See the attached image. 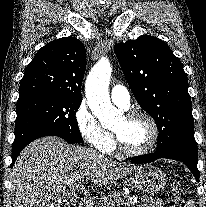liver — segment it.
Masks as SVG:
<instances>
[{"label":"liver","instance_id":"1","mask_svg":"<svg viewBox=\"0 0 206 207\" xmlns=\"http://www.w3.org/2000/svg\"><path fill=\"white\" fill-rule=\"evenodd\" d=\"M137 167L113 162L57 136L42 137L26 146L13 166V207H60L62 193L88 181L95 188L106 186L130 176Z\"/></svg>","mask_w":206,"mask_h":207}]
</instances>
